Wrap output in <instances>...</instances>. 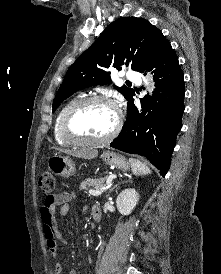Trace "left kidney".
Listing matches in <instances>:
<instances>
[{
  "instance_id": "1",
  "label": "left kidney",
  "mask_w": 221,
  "mask_h": 274,
  "mask_svg": "<svg viewBox=\"0 0 221 274\" xmlns=\"http://www.w3.org/2000/svg\"><path fill=\"white\" fill-rule=\"evenodd\" d=\"M138 200L139 195L135 189H125L116 199L117 209L122 215H129L137 205Z\"/></svg>"
}]
</instances>
